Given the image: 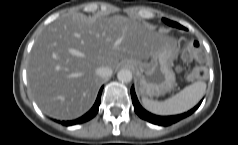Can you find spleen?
I'll list each match as a JSON object with an SVG mask.
<instances>
[{
    "mask_svg": "<svg viewBox=\"0 0 238 145\" xmlns=\"http://www.w3.org/2000/svg\"><path fill=\"white\" fill-rule=\"evenodd\" d=\"M205 91L206 83L197 81L162 102L142 97V104L149 112L157 115L179 114L194 107L201 100Z\"/></svg>",
    "mask_w": 238,
    "mask_h": 145,
    "instance_id": "3e777b00",
    "label": "spleen"
}]
</instances>
